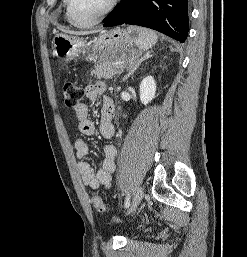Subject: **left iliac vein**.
Here are the masks:
<instances>
[{
  "label": "left iliac vein",
  "instance_id": "4c4485c4",
  "mask_svg": "<svg viewBox=\"0 0 247 257\" xmlns=\"http://www.w3.org/2000/svg\"><path fill=\"white\" fill-rule=\"evenodd\" d=\"M144 192L142 187H138L135 191L134 197L131 201L130 207L127 211V214L135 212L137 206L140 204L143 198Z\"/></svg>",
  "mask_w": 247,
  "mask_h": 257
}]
</instances>
